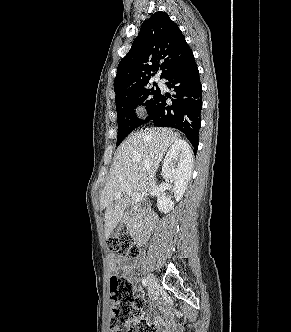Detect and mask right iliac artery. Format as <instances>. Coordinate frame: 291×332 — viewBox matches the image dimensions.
Returning <instances> with one entry per match:
<instances>
[{
	"instance_id": "obj_1",
	"label": "right iliac artery",
	"mask_w": 291,
	"mask_h": 332,
	"mask_svg": "<svg viewBox=\"0 0 291 332\" xmlns=\"http://www.w3.org/2000/svg\"><path fill=\"white\" fill-rule=\"evenodd\" d=\"M147 283H148L147 280H146L145 278H143V279H142V284H143L144 287L147 286Z\"/></svg>"
}]
</instances>
